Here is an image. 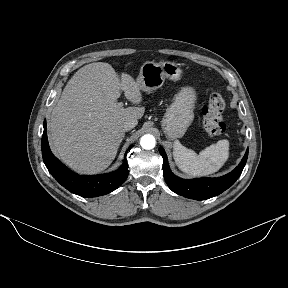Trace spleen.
I'll return each mask as SVG.
<instances>
[{
    "label": "spleen",
    "instance_id": "1",
    "mask_svg": "<svg viewBox=\"0 0 288 288\" xmlns=\"http://www.w3.org/2000/svg\"><path fill=\"white\" fill-rule=\"evenodd\" d=\"M173 157L178 168L188 175H210L217 172L229 158V142L220 140L197 155L177 140L173 144Z\"/></svg>",
    "mask_w": 288,
    "mask_h": 288
}]
</instances>
